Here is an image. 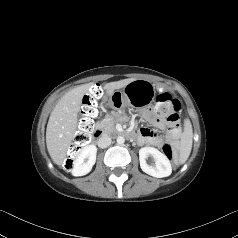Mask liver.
Returning a JSON list of instances; mask_svg holds the SVG:
<instances>
[{"label":"liver","mask_w":238,"mask_h":238,"mask_svg":"<svg viewBox=\"0 0 238 238\" xmlns=\"http://www.w3.org/2000/svg\"><path fill=\"white\" fill-rule=\"evenodd\" d=\"M134 78L110 82L104 85L108 93L125 87ZM94 84L80 85L66 93L56 104L50 114L46 129L47 150L53 162L61 165L66 157L74 134L77 129V113L80 109L83 96L93 87Z\"/></svg>","instance_id":"liver-1"}]
</instances>
